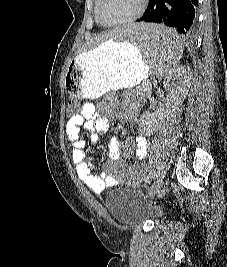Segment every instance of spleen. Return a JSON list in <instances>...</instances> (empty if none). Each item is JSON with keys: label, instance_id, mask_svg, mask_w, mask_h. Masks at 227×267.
I'll return each instance as SVG.
<instances>
[{"label": "spleen", "instance_id": "spleen-1", "mask_svg": "<svg viewBox=\"0 0 227 267\" xmlns=\"http://www.w3.org/2000/svg\"><path fill=\"white\" fill-rule=\"evenodd\" d=\"M115 41L138 47L142 59L150 63V77H173L183 54V44L177 34L163 23L122 22L116 25Z\"/></svg>", "mask_w": 227, "mask_h": 267}]
</instances>
